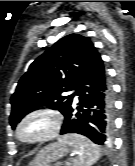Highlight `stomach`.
<instances>
[{
  "label": "stomach",
  "instance_id": "stomach-1",
  "mask_svg": "<svg viewBox=\"0 0 135 166\" xmlns=\"http://www.w3.org/2000/svg\"><path fill=\"white\" fill-rule=\"evenodd\" d=\"M69 153V148L62 142H54L46 145L35 156L29 166H51ZM72 164V163H71ZM68 164L67 166H71Z\"/></svg>",
  "mask_w": 135,
  "mask_h": 166
}]
</instances>
